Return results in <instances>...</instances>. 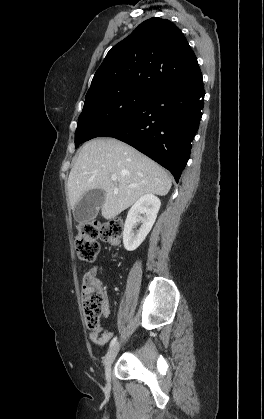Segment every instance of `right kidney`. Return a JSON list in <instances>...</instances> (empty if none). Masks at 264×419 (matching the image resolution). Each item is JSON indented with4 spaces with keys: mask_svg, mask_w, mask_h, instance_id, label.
I'll return each mask as SVG.
<instances>
[{
    "mask_svg": "<svg viewBox=\"0 0 264 419\" xmlns=\"http://www.w3.org/2000/svg\"><path fill=\"white\" fill-rule=\"evenodd\" d=\"M160 205L159 198L153 194H145L130 208L123 230V243L127 251H134L144 241L156 220ZM139 221L142 225L135 234L133 228Z\"/></svg>",
    "mask_w": 264,
    "mask_h": 419,
    "instance_id": "ca27d5eb",
    "label": "right kidney"
}]
</instances>
